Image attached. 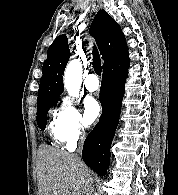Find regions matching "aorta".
Returning <instances> with one entry per match:
<instances>
[{
	"instance_id": "aorta-1",
	"label": "aorta",
	"mask_w": 178,
	"mask_h": 195,
	"mask_svg": "<svg viewBox=\"0 0 178 195\" xmlns=\"http://www.w3.org/2000/svg\"><path fill=\"white\" fill-rule=\"evenodd\" d=\"M82 84V65L78 59L70 61L64 73V86L68 94L77 97Z\"/></svg>"
}]
</instances>
